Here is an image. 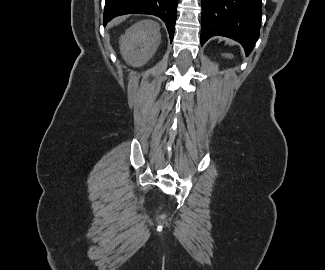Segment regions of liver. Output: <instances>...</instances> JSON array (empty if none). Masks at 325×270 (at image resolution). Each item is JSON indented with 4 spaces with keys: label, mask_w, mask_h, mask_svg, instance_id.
<instances>
[{
    "label": "liver",
    "mask_w": 325,
    "mask_h": 270,
    "mask_svg": "<svg viewBox=\"0 0 325 270\" xmlns=\"http://www.w3.org/2000/svg\"><path fill=\"white\" fill-rule=\"evenodd\" d=\"M126 19V16H122V17H118V18H115L112 22H111V25L114 26V25H118L119 23H121L123 20Z\"/></svg>",
    "instance_id": "liver-1"
}]
</instances>
